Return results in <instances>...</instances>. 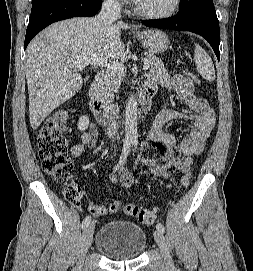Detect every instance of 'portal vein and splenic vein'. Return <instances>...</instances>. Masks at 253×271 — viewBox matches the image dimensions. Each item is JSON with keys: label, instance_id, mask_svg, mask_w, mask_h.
<instances>
[{"label": "portal vein and splenic vein", "instance_id": "18ae733b", "mask_svg": "<svg viewBox=\"0 0 253 271\" xmlns=\"http://www.w3.org/2000/svg\"><path fill=\"white\" fill-rule=\"evenodd\" d=\"M96 65V66H101V67H107L112 69L113 71L119 72L121 74H123L125 72V66L123 65V63L121 62H117V61H112V60H108V59H102L99 57H94L92 59H87V60H83V61H76L75 65L77 68L82 69L87 65ZM150 67V65L148 63H144L143 65V69L144 70H148Z\"/></svg>", "mask_w": 253, "mask_h": 271}]
</instances>
